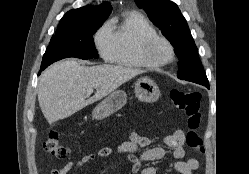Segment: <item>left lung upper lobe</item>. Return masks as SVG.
<instances>
[{
	"label": "left lung upper lobe",
	"instance_id": "left-lung-upper-lobe-1",
	"mask_svg": "<svg viewBox=\"0 0 249 174\" xmlns=\"http://www.w3.org/2000/svg\"><path fill=\"white\" fill-rule=\"evenodd\" d=\"M135 2L139 8L145 10L149 19L175 48L179 59L177 77L187 81L207 79L187 21L178 6L169 0H135Z\"/></svg>",
	"mask_w": 249,
	"mask_h": 174
}]
</instances>
